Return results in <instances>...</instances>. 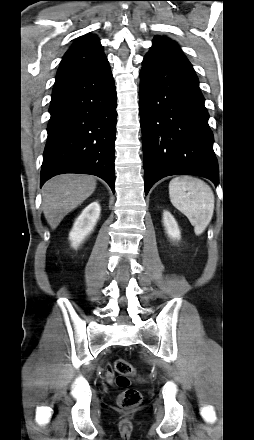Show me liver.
<instances>
[{
  "label": "liver",
  "instance_id": "obj_1",
  "mask_svg": "<svg viewBox=\"0 0 254 440\" xmlns=\"http://www.w3.org/2000/svg\"><path fill=\"white\" fill-rule=\"evenodd\" d=\"M95 189L96 179L89 175L62 174L47 181L42 190V207L51 228L55 229Z\"/></svg>",
  "mask_w": 254,
  "mask_h": 440
}]
</instances>
